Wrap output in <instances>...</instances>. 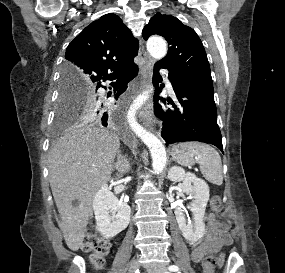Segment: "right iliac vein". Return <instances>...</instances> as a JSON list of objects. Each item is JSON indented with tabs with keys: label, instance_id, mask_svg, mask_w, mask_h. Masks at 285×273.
I'll return each mask as SVG.
<instances>
[{
	"label": "right iliac vein",
	"instance_id": "1",
	"mask_svg": "<svg viewBox=\"0 0 285 273\" xmlns=\"http://www.w3.org/2000/svg\"><path fill=\"white\" fill-rule=\"evenodd\" d=\"M139 260L138 259H134L128 268L129 273H134L138 268H139Z\"/></svg>",
	"mask_w": 285,
	"mask_h": 273
}]
</instances>
